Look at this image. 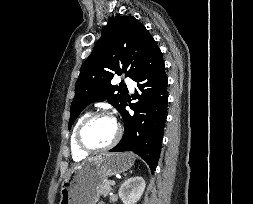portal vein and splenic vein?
<instances>
[{
    "label": "portal vein and splenic vein",
    "mask_w": 253,
    "mask_h": 204,
    "mask_svg": "<svg viewBox=\"0 0 253 204\" xmlns=\"http://www.w3.org/2000/svg\"><path fill=\"white\" fill-rule=\"evenodd\" d=\"M110 184L112 185V186H114L115 185V181H110Z\"/></svg>",
    "instance_id": "1"
}]
</instances>
